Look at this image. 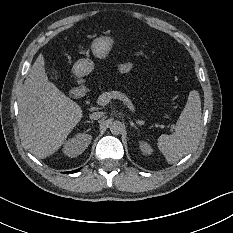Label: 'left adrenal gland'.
<instances>
[{"instance_id":"obj_1","label":"left adrenal gland","mask_w":233,"mask_h":233,"mask_svg":"<svg viewBox=\"0 0 233 233\" xmlns=\"http://www.w3.org/2000/svg\"><path fill=\"white\" fill-rule=\"evenodd\" d=\"M129 123H130V125H131L132 127H134L135 129H138L137 126L135 125V123H134L133 121H129Z\"/></svg>"}]
</instances>
